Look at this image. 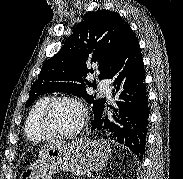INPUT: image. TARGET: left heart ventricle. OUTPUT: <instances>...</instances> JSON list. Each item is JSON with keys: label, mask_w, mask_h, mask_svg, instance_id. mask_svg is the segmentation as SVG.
<instances>
[{"label": "left heart ventricle", "mask_w": 183, "mask_h": 179, "mask_svg": "<svg viewBox=\"0 0 183 179\" xmlns=\"http://www.w3.org/2000/svg\"><path fill=\"white\" fill-rule=\"evenodd\" d=\"M81 118V111L75 104L60 102L50 110L46 126L54 133H68L80 124Z\"/></svg>", "instance_id": "1"}]
</instances>
